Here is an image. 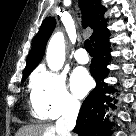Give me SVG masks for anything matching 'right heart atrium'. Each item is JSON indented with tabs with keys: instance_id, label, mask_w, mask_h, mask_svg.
I'll return each mask as SVG.
<instances>
[{
	"instance_id": "d8ad5b80",
	"label": "right heart atrium",
	"mask_w": 136,
	"mask_h": 136,
	"mask_svg": "<svg viewBox=\"0 0 136 136\" xmlns=\"http://www.w3.org/2000/svg\"><path fill=\"white\" fill-rule=\"evenodd\" d=\"M30 103L33 114L39 118L55 119L79 109L65 76L46 70L36 72L32 78Z\"/></svg>"
}]
</instances>
